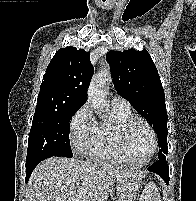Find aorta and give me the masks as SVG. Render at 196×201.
<instances>
[{"label":"aorta","instance_id":"1","mask_svg":"<svg viewBox=\"0 0 196 201\" xmlns=\"http://www.w3.org/2000/svg\"><path fill=\"white\" fill-rule=\"evenodd\" d=\"M111 74L109 68L100 71L92 78L88 89V101L98 113L107 109V86L110 82Z\"/></svg>","mask_w":196,"mask_h":201}]
</instances>
